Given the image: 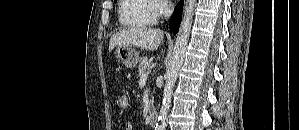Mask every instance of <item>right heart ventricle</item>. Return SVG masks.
Instances as JSON below:
<instances>
[{"mask_svg": "<svg viewBox=\"0 0 299 130\" xmlns=\"http://www.w3.org/2000/svg\"><path fill=\"white\" fill-rule=\"evenodd\" d=\"M153 0H122L119 21L124 27H148L156 24V5Z\"/></svg>", "mask_w": 299, "mask_h": 130, "instance_id": "right-heart-ventricle-1", "label": "right heart ventricle"}]
</instances>
